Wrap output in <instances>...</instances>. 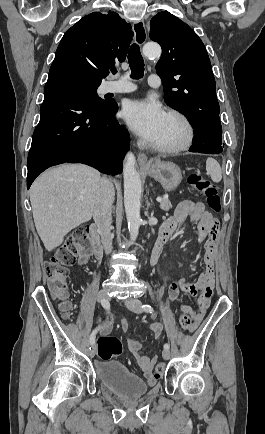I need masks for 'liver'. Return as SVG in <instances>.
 I'll list each match as a JSON object with an SVG mask.
<instances>
[{
	"instance_id": "obj_1",
	"label": "liver",
	"mask_w": 265,
	"mask_h": 434,
	"mask_svg": "<svg viewBox=\"0 0 265 434\" xmlns=\"http://www.w3.org/2000/svg\"><path fill=\"white\" fill-rule=\"evenodd\" d=\"M99 182V172L83 164L52 168L33 182L29 190L33 218L48 252L60 246L73 228L91 220Z\"/></svg>"
}]
</instances>
